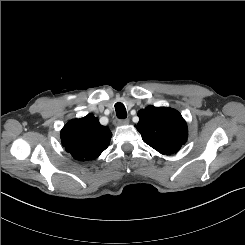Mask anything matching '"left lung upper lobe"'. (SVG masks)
Returning <instances> with one entry per match:
<instances>
[{"instance_id":"obj_1","label":"left lung upper lobe","mask_w":245,"mask_h":245,"mask_svg":"<svg viewBox=\"0 0 245 245\" xmlns=\"http://www.w3.org/2000/svg\"><path fill=\"white\" fill-rule=\"evenodd\" d=\"M138 116L143 141L161 154H174L186 143L187 124L175 109L148 106Z\"/></svg>"}]
</instances>
